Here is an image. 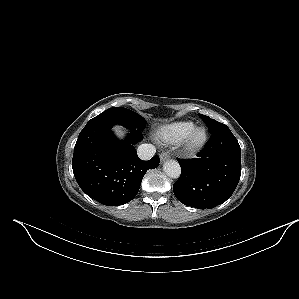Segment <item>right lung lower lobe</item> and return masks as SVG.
<instances>
[{"label":"right lung lower lobe","mask_w":299,"mask_h":299,"mask_svg":"<svg viewBox=\"0 0 299 299\" xmlns=\"http://www.w3.org/2000/svg\"><path fill=\"white\" fill-rule=\"evenodd\" d=\"M123 125L130 130L118 140L111 128ZM142 130L112 114L101 113L80 132L74 147L73 173L80 188L91 198L108 206L131 201L138 193L148 169L159 166V156L149 161L138 158L134 143Z\"/></svg>","instance_id":"obj_1"}]
</instances>
